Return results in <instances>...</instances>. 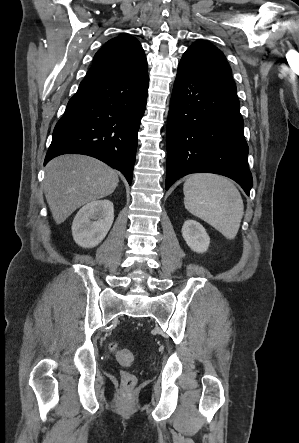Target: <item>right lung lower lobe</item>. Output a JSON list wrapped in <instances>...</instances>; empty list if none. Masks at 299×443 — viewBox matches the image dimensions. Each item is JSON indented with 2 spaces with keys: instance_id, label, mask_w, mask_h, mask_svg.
Here are the masks:
<instances>
[{
  "instance_id": "right-lung-lower-lobe-1",
  "label": "right lung lower lobe",
  "mask_w": 299,
  "mask_h": 443,
  "mask_svg": "<svg viewBox=\"0 0 299 443\" xmlns=\"http://www.w3.org/2000/svg\"><path fill=\"white\" fill-rule=\"evenodd\" d=\"M147 72L82 80L54 128L44 164L62 154H85L121 171L131 184L148 95Z\"/></svg>"
}]
</instances>
